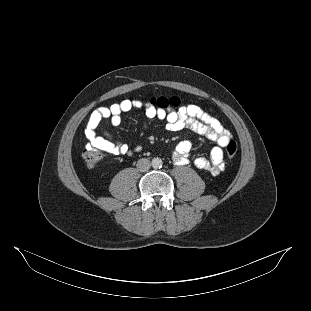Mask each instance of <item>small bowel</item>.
<instances>
[{"instance_id": "1", "label": "small bowel", "mask_w": 311, "mask_h": 311, "mask_svg": "<svg viewBox=\"0 0 311 311\" xmlns=\"http://www.w3.org/2000/svg\"><path fill=\"white\" fill-rule=\"evenodd\" d=\"M141 107L145 108V114L149 119L157 118L165 121V128L168 131L176 132L189 128L215 142L216 146L212 148L209 158L196 157L193 163L197 168L214 175L224 170L223 148L231 140L232 135L217 118L195 104L183 106L177 111H170L143 104L139 100L125 99L110 106L100 107L94 110L88 118L85 128L86 149H99L114 155L130 153L131 150L127 144L113 139L106 131L98 135L97 129L104 119H109L111 124L117 127L121 124L124 113ZM191 148L190 141H181L173 151L174 161L180 165L188 163Z\"/></svg>"}]
</instances>
